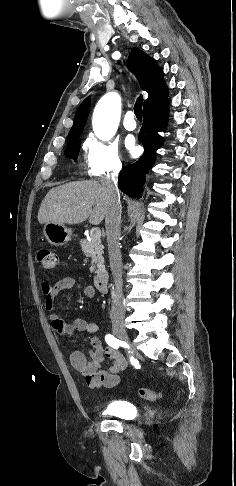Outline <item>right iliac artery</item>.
<instances>
[{
  "instance_id": "obj_1",
  "label": "right iliac artery",
  "mask_w": 236,
  "mask_h": 486,
  "mask_svg": "<svg viewBox=\"0 0 236 486\" xmlns=\"http://www.w3.org/2000/svg\"><path fill=\"white\" fill-rule=\"evenodd\" d=\"M105 340L109 346H111L114 349H118L120 345V340L115 338L113 335L111 334L106 335Z\"/></svg>"
}]
</instances>
